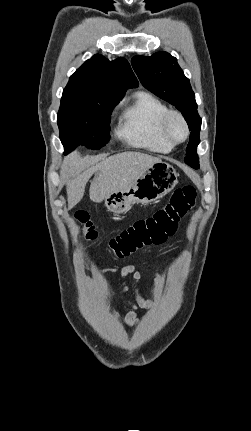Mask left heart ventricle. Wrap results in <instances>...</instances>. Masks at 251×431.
<instances>
[{
    "label": "left heart ventricle",
    "mask_w": 251,
    "mask_h": 431,
    "mask_svg": "<svg viewBox=\"0 0 251 431\" xmlns=\"http://www.w3.org/2000/svg\"><path fill=\"white\" fill-rule=\"evenodd\" d=\"M169 128H170V133L174 139L181 140L184 138L185 130L180 120H178L177 118H173L170 121Z\"/></svg>",
    "instance_id": "b2bd125f"
}]
</instances>
